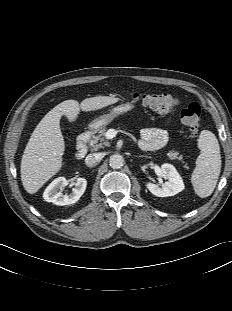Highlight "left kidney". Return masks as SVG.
I'll return each mask as SVG.
<instances>
[{"label":"left kidney","mask_w":232,"mask_h":311,"mask_svg":"<svg viewBox=\"0 0 232 311\" xmlns=\"http://www.w3.org/2000/svg\"><path fill=\"white\" fill-rule=\"evenodd\" d=\"M161 171L168 178V182L162 188L156 184L147 183L146 187L153 195L157 197H168L174 196L184 190V182L173 165L165 163L161 166Z\"/></svg>","instance_id":"left-kidney-1"}]
</instances>
